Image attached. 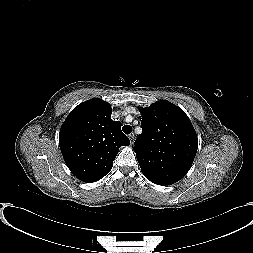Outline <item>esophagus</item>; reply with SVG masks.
<instances>
[{
    "label": "esophagus",
    "mask_w": 253,
    "mask_h": 253,
    "mask_svg": "<svg viewBox=\"0 0 253 253\" xmlns=\"http://www.w3.org/2000/svg\"><path fill=\"white\" fill-rule=\"evenodd\" d=\"M129 139H130V143L132 145L134 143V134L133 133L129 135Z\"/></svg>",
    "instance_id": "1"
}]
</instances>
